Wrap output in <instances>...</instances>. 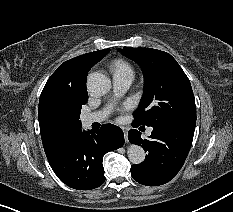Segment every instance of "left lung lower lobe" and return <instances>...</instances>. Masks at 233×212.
Instances as JSON below:
<instances>
[{
  "label": "left lung lower lobe",
  "mask_w": 233,
  "mask_h": 212,
  "mask_svg": "<svg viewBox=\"0 0 233 212\" xmlns=\"http://www.w3.org/2000/svg\"><path fill=\"white\" fill-rule=\"evenodd\" d=\"M194 130L187 126L159 124L153 126L150 139H142L140 132L130 130L129 141L148 153L143 163L131 166L133 179L143 185L158 186L174 178L189 153Z\"/></svg>",
  "instance_id": "0a47b994"
}]
</instances>
